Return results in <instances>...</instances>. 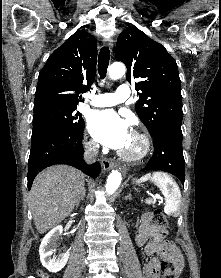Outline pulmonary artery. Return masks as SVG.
Listing matches in <instances>:
<instances>
[{
  "mask_svg": "<svg viewBox=\"0 0 221 278\" xmlns=\"http://www.w3.org/2000/svg\"><path fill=\"white\" fill-rule=\"evenodd\" d=\"M129 96L130 90L128 85L122 84L114 93L92 95L90 104L95 107H110L125 101Z\"/></svg>",
  "mask_w": 221,
  "mask_h": 278,
  "instance_id": "1",
  "label": "pulmonary artery"
}]
</instances>
